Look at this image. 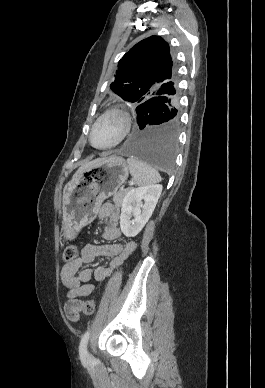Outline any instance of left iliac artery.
I'll return each instance as SVG.
<instances>
[{"label": "left iliac artery", "instance_id": "1", "mask_svg": "<svg viewBox=\"0 0 265 388\" xmlns=\"http://www.w3.org/2000/svg\"><path fill=\"white\" fill-rule=\"evenodd\" d=\"M89 336H90V330H87L81 338V342L79 345V353L81 356L87 355V342H88Z\"/></svg>", "mask_w": 265, "mask_h": 388}]
</instances>
